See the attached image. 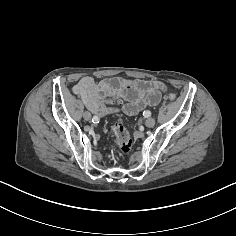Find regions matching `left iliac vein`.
Here are the masks:
<instances>
[{
	"instance_id": "left-iliac-vein-1",
	"label": "left iliac vein",
	"mask_w": 236,
	"mask_h": 236,
	"mask_svg": "<svg viewBox=\"0 0 236 236\" xmlns=\"http://www.w3.org/2000/svg\"><path fill=\"white\" fill-rule=\"evenodd\" d=\"M155 119L154 118H148L146 121H145V125L147 127H153L155 125Z\"/></svg>"
}]
</instances>
